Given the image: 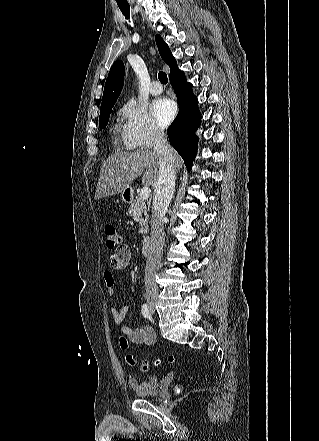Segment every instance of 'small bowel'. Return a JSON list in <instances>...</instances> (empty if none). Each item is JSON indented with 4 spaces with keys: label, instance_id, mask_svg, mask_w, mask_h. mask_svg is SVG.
<instances>
[{
    "label": "small bowel",
    "instance_id": "obj_1",
    "mask_svg": "<svg viewBox=\"0 0 319 441\" xmlns=\"http://www.w3.org/2000/svg\"><path fill=\"white\" fill-rule=\"evenodd\" d=\"M131 253L126 245H121L109 258V264L114 270H123L130 262ZM104 283L109 296L115 293V277L112 271L103 273ZM111 316L117 325H121V332L125 334L134 344L152 345L156 341V335L153 329L146 325L143 327H131L122 325L128 313V307L123 306L120 309L112 307Z\"/></svg>",
    "mask_w": 319,
    "mask_h": 441
}]
</instances>
